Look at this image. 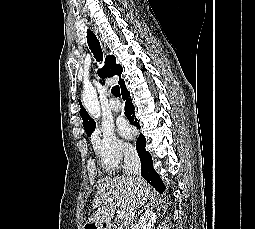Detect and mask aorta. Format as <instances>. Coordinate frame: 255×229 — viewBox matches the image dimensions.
<instances>
[{
  "label": "aorta",
  "mask_w": 255,
  "mask_h": 229,
  "mask_svg": "<svg viewBox=\"0 0 255 229\" xmlns=\"http://www.w3.org/2000/svg\"><path fill=\"white\" fill-rule=\"evenodd\" d=\"M82 101L89 115L95 119L100 117V104L97 98L96 91L91 84L85 83L82 94Z\"/></svg>",
  "instance_id": "obj_1"
}]
</instances>
